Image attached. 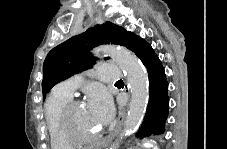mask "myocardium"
I'll return each mask as SVG.
<instances>
[{
  "label": "myocardium",
  "instance_id": "obj_1",
  "mask_svg": "<svg viewBox=\"0 0 227 149\" xmlns=\"http://www.w3.org/2000/svg\"><path fill=\"white\" fill-rule=\"evenodd\" d=\"M82 105L80 100H70L62 109L60 115V123L62 132L66 138L76 145H87L96 141L99 137V132L91 136L77 134L72 128V116L74 111Z\"/></svg>",
  "mask_w": 227,
  "mask_h": 149
}]
</instances>
